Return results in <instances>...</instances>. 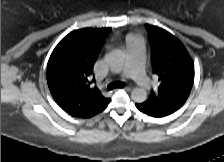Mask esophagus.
I'll return each instance as SVG.
<instances>
[{
    "mask_svg": "<svg viewBox=\"0 0 224 162\" xmlns=\"http://www.w3.org/2000/svg\"><path fill=\"white\" fill-rule=\"evenodd\" d=\"M123 89L126 90V91H130L131 90L130 87H124Z\"/></svg>",
    "mask_w": 224,
    "mask_h": 162,
    "instance_id": "1",
    "label": "esophagus"
}]
</instances>
